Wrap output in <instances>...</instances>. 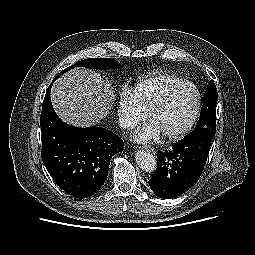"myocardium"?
<instances>
[{"label": "myocardium", "mask_w": 255, "mask_h": 255, "mask_svg": "<svg viewBox=\"0 0 255 255\" xmlns=\"http://www.w3.org/2000/svg\"><path fill=\"white\" fill-rule=\"evenodd\" d=\"M188 86L194 87L197 93L195 110L193 112L192 117L183 128L173 133L164 134L165 139H167L168 141L181 140L193 129L194 125L196 124L202 107V94L199 87L193 82L185 81L182 84L170 90L167 94H165L149 111V118L152 119L154 115H156L159 111H161L167 106V104L173 99V97L177 93H179Z\"/></svg>", "instance_id": "1"}]
</instances>
